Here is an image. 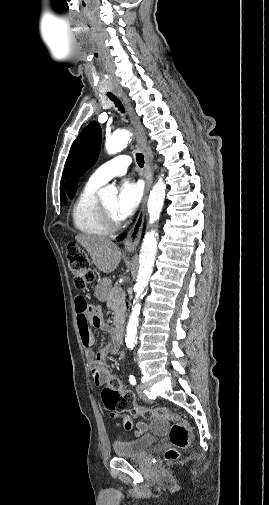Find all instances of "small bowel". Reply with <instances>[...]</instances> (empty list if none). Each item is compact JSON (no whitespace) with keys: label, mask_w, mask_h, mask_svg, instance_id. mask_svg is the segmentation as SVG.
Instances as JSON below:
<instances>
[{"label":"small bowel","mask_w":269,"mask_h":505,"mask_svg":"<svg viewBox=\"0 0 269 505\" xmlns=\"http://www.w3.org/2000/svg\"><path fill=\"white\" fill-rule=\"evenodd\" d=\"M78 327L82 344L91 364V375L94 383L101 386L106 383L110 374L107 370V356L116 350L115 345H108L97 353L92 350L94 343L93 328L103 331H111L110 326L105 322L101 309L96 305H91L88 298L81 296L75 300ZM137 432L142 434L149 429L158 435H164L168 429L167 418H155L150 424L145 421L137 423Z\"/></svg>","instance_id":"1"}]
</instances>
